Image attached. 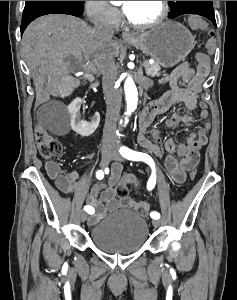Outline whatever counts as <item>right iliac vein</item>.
<instances>
[{
	"mask_svg": "<svg viewBox=\"0 0 237 300\" xmlns=\"http://www.w3.org/2000/svg\"><path fill=\"white\" fill-rule=\"evenodd\" d=\"M114 150L111 147H104L102 150V157H101V165L102 167L108 166L111 156L113 154ZM87 213L86 212H81L80 213V219L82 222H84L87 219Z\"/></svg>",
	"mask_w": 237,
	"mask_h": 300,
	"instance_id": "right-iliac-vein-1",
	"label": "right iliac vein"
}]
</instances>
